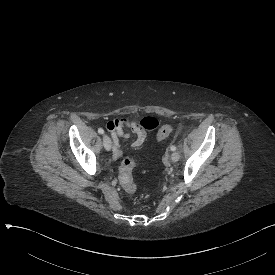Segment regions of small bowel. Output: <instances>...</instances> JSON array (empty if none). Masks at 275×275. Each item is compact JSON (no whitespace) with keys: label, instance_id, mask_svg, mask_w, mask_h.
<instances>
[{"label":"small bowel","instance_id":"obj_1","mask_svg":"<svg viewBox=\"0 0 275 275\" xmlns=\"http://www.w3.org/2000/svg\"><path fill=\"white\" fill-rule=\"evenodd\" d=\"M161 119L154 117H144L140 119L139 124H136L135 120L132 119H120L116 118L114 120L109 119L105 122L104 127L109 131L110 135L113 136L114 147L112 151V157L117 159L121 156V149L119 146L120 139H132L133 135L136 134L137 138L134 141L133 145L135 147H140L145 141L146 131H152L161 126Z\"/></svg>","mask_w":275,"mask_h":275}]
</instances>
